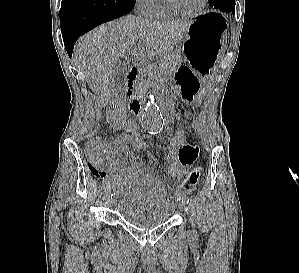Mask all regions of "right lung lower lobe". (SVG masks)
Instances as JSON below:
<instances>
[{
  "instance_id": "right-lung-lower-lobe-1",
  "label": "right lung lower lobe",
  "mask_w": 299,
  "mask_h": 273,
  "mask_svg": "<svg viewBox=\"0 0 299 273\" xmlns=\"http://www.w3.org/2000/svg\"><path fill=\"white\" fill-rule=\"evenodd\" d=\"M134 5L135 0H62L60 25L69 57L82 34L127 14Z\"/></svg>"
}]
</instances>
